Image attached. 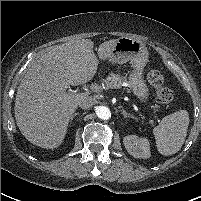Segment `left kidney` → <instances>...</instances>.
I'll return each instance as SVG.
<instances>
[{
  "label": "left kidney",
  "instance_id": "obj_1",
  "mask_svg": "<svg viewBox=\"0 0 201 201\" xmlns=\"http://www.w3.org/2000/svg\"><path fill=\"white\" fill-rule=\"evenodd\" d=\"M123 143L130 155L135 158H149L151 156L149 141L136 135L124 137Z\"/></svg>",
  "mask_w": 201,
  "mask_h": 201
}]
</instances>
